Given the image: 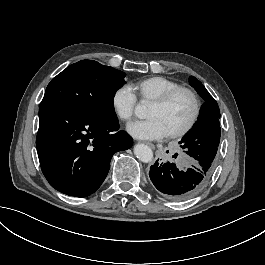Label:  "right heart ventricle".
<instances>
[{
  "label": "right heart ventricle",
  "mask_w": 265,
  "mask_h": 265,
  "mask_svg": "<svg viewBox=\"0 0 265 265\" xmlns=\"http://www.w3.org/2000/svg\"><path fill=\"white\" fill-rule=\"evenodd\" d=\"M129 87L142 101L152 103L181 85L163 76H151L132 82Z\"/></svg>",
  "instance_id": "right-heart-ventricle-1"
}]
</instances>
